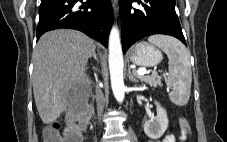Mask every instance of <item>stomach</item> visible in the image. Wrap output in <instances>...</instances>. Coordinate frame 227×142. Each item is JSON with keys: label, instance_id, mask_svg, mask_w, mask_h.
Masks as SVG:
<instances>
[{"label": "stomach", "instance_id": "obj_1", "mask_svg": "<svg viewBox=\"0 0 227 142\" xmlns=\"http://www.w3.org/2000/svg\"><path fill=\"white\" fill-rule=\"evenodd\" d=\"M129 58L138 66L153 67L161 62L162 53L155 46L140 42L130 49Z\"/></svg>", "mask_w": 227, "mask_h": 142}]
</instances>
